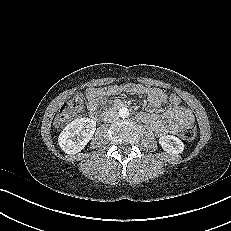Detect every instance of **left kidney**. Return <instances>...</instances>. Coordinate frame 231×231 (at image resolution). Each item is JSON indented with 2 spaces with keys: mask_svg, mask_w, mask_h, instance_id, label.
Instances as JSON below:
<instances>
[{
  "mask_svg": "<svg viewBox=\"0 0 231 231\" xmlns=\"http://www.w3.org/2000/svg\"><path fill=\"white\" fill-rule=\"evenodd\" d=\"M161 147L170 154H179L184 150L183 142L173 135H165L159 138Z\"/></svg>",
  "mask_w": 231,
  "mask_h": 231,
  "instance_id": "5707ae66",
  "label": "left kidney"
}]
</instances>
